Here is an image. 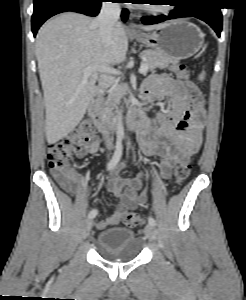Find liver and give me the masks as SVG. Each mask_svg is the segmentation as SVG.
<instances>
[{
    "label": "liver",
    "instance_id": "liver-1",
    "mask_svg": "<svg viewBox=\"0 0 246 300\" xmlns=\"http://www.w3.org/2000/svg\"><path fill=\"white\" fill-rule=\"evenodd\" d=\"M164 24L143 26L152 31ZM128 51L124 27L117 23L112 42L105 46L94 19L67 12L46 22L36 39V58L46 109V138L54 144L80 123L89 106L98 71L85 77L88 67L122 63Z\"/></svg>",
    "mask_w": 246,
    "mask_h": 300
}]
</instances>
